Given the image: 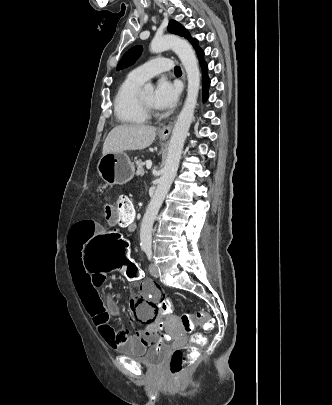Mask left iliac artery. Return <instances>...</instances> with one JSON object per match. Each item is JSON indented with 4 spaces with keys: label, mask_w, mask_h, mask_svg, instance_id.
Wrapping results in <instances>:
<instances>
[{
    "label": "left iliac artery",
    "mask_w": 332,
    "mask_h": 405,
    "mask_svg": "<svg viewBox=\"0 0 332 405\" xmlns=\"http://www.w3.org/2000/svg\"><path fill=\"white\" fill-rule=\"evenodd\" d=\"M144 251H145V253H146L148 259L151 260V257H152V250H151V248H150V247H147V248L144 249Z\"/></svg>",
    "instance_id": "44dca946"
}]
</instances>
